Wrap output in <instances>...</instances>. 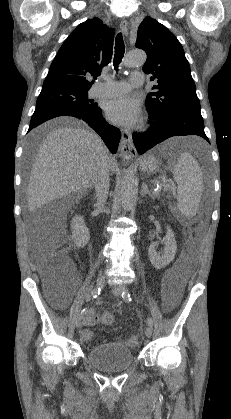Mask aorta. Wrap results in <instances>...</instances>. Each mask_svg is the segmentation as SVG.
Listing matches in <instances>:
<instances>
[{
	"label": "aorta",
	"mask_w": 231,
	"mask_h": 419,
	"mask_svg": "<svg viewBox=\"0 0 231 419\" xmlns=\"http://www.w3.org/2000/svg\"><path fill=\"white\" fill-rule=\"evenodd\" d=\"M146 53L142 50L129 52L124 60L126 67L142 66L146 62ZM137 178L133 172H127L122 182V205L129 211L135 203L137 195Z\"/></svg>",
	"instance_id": "obj_1"
}]
</instances>
